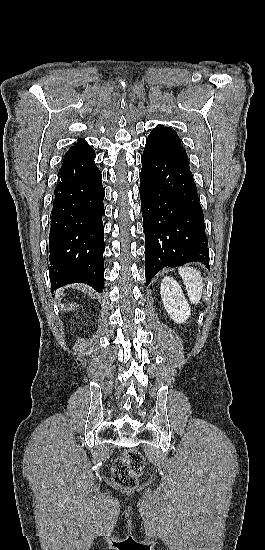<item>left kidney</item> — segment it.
Here are the masks:
<instances>
[{"label": "left kidney", "mask_w": 265, "mask_h": 550, "mask_svg": "<svg viewBox=\"0 0 265 550\" xmlns=\"http://www.w3.org/2000/svg\"><path fill=\"white\" fill-rule=\"evenodd\" d=\"M160 294L168 315L175 323H184L191 311L180 285L172 277H164L161 282Z\"/></svg>", "instance_id": "5707ae66"}]
</instances>
